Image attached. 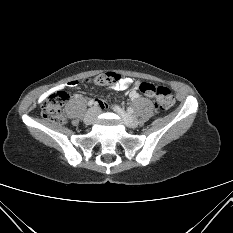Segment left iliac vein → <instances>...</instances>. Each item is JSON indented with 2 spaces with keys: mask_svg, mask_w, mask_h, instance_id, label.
Listing matches in <instances>:
<instances>
[{
  "mask_svg": "<svg viewBox=\"0 0 233 233\" xmlns=\"http://www.w3.org/2000/svg\"><path fill=\"white\" fill-rule=\"evenodd\" d=\"M114 110L121 116L126 126L135 128L138 126V120L136 117L126 113L119 106H114Z\"/></svg>",
  "mask_w": 233,
  "mask_h": 233,
  "instance_id": "obj_1",
  "label": "left iliac vein"
}]
</instances>
